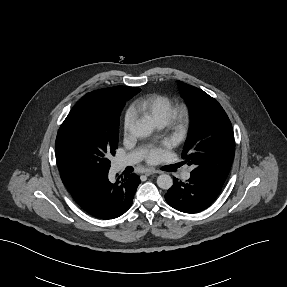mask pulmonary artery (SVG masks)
<instances>
[{
  "instance_id": "e3ab8cb5",
  "label": "pulmonary artery",
  "mask_w": 287,
  "mask_h": 287,
  "mask_svg": "<svg viewBox=\"0 0 287 287\" xmlns=\"http://www.w3.org/2000/svg\"><path fill=\"white\" fill-rule=\"evenodd\" d=\"M158 127H162V126H158ZM141 156H142L141 151H135V152L130 153L127 156L120 158L116 162V169L122 170L127 166H130V165L137 163L141 159ZM190 176H191V169H189V168L185 169L182 173V177L184 179H189Z\"/></svg>"
}]
</instances>
